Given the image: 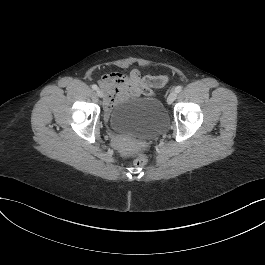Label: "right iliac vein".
<instances>
[{"label":"right iliac vein","mask_w":265,"mask_h":265,"mask_svg":"<svg viewBox=\"0 0 265 265\" xmlns=\"http://www.w3.org/2000/svg\"><path fill=\"white\" fill-rule=\"evenodd\" d=\"M96 93H97V95H98L100 98H103V97H104V93H103L102 90L97 89Z\"/></svg>","instance_id":"1"}]
</instances>
